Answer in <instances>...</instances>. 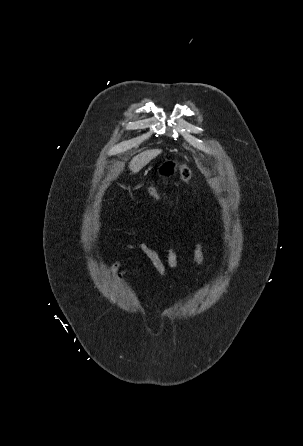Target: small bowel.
<instances>
[{"label": "small bowel", "instance_id": "small-bowel-1", "mask_svg": "<svg viewBox=\"0 0 303 446\" xmlns=\"http://www.w3.org/2000/svg\"><path fill=\"white\" fill-rule=\"evenodd\" d=\"M127 249H137L142 251L151 261L154 269L162 278L165 284L168 283V275L170 270L177 269V256H178V246L174 245L170 248L167 263H164L159 257L155 249L144 242H130L124 244ZM205 254V244L200 242L196 245L194 249V260L193 264L195 266L199 265ZM110 274L120 281L129 275L126 269H123V263L121 261H115L109 269Z\"/></svg>", "mask_w": 303, "mask_h": 446}]
</instances>
